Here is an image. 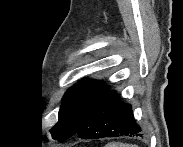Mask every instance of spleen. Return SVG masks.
<instances>
[{
    "label": "spleen",
    "mask_w": 183,
    "mask_h": 147,
    "mask_svg": "<svg viewBox=\"0 0 183 147\" xmlns=\"http://www.w3.org/2000/svg\"><path fill=\"white\" fill-rule=\"evenodd\" d=\"M106 147H137L136 145H130L126 143H118V142H112L108 143Z\"/></svg>",
    "instance_id": "obj_1"
}]
</instances>
